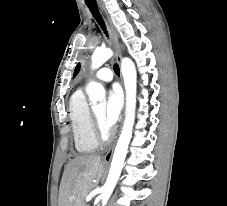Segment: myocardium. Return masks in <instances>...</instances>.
Listing matches in <instances>:
<instances>
[{
    "instance_id": "myocardium-1",
    "label": "myocardium",
    "mask_w": 227,
    "mask_h": 206,
    "mask_svg": "<svg viewBox=\"0 0 227 206\" xmlns=\"http://www.w3.org/2000/svg\"><path fill=\"white\" fill-rule=\"evenodd\" d=\"M91 118H92L94 135H95L97 141L101 142V143L107 142L111 137L110 130L103 129V127L100 124L98 118L96 117L94 111H91Z\"/></svg>"
}]
</instances>
